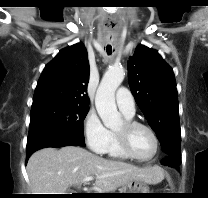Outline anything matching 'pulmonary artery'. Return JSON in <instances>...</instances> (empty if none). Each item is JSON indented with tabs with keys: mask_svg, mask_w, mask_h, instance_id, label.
<instances>
[{
	"mask_svg": "<svg viewBox=\"0 0 208 198\" xmlns=\"http://www.w3.org/2000/svg\"><path fill=\"white\" fill-rule=\"evenodd\" d=\"M116 103L123 114L127 116H134L136 111L135 100L127 88L121 87L117 90Z\"/></svg>",
	"mask_w": 208,
	"mask_h": 198,
	"instance_id": "pulmonary-artery-1",
	"label": "pulmonary artery"
}]
</instances>
